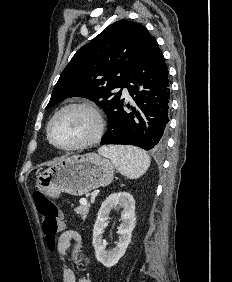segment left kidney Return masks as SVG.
Wrapping results in <instances>:
<instances>
[{
  "label": "left kidney",
  "mask_w": 232,
  "mask_h": 282,
  "mask_svg": "<svg viewBox=\"0 0 232 282\" xmlns=\"http://www.w3.org/2000/svg\"><path fill=\"white\" fill-rule=\"evenodd\" d=\"M117 207L123 208L121 214L122 223L118 229L119 242L113 250L107 251L105 250L104 241L102 239L104 224L108 220L111 210L116 209ZM135 223V201L130 193L122 191L112 193L102 203L93 228L92 243L97 260L105 267L116 265L125 254V251L131 242Z\"/></svg>",
  "instance_id": "obj_1"
}]
</instances>
